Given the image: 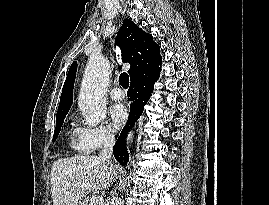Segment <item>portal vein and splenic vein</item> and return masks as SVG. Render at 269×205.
Instances as JSON below:
<instances>
[{"label":"portal vein and splenic vein","instance_id":"obj_1","mask_svg":"<svg viewBox=\"0 0 269 205\" xmlns=\"http://www.w3.org/2000/svg\"><path fill=\"white\" fill-rule=\"evenodd\" d=\"M93 205H103L102 196H97V197L93 198Z\"/></svg>","mask_w":269,"mask_h":205}]
</instances>
